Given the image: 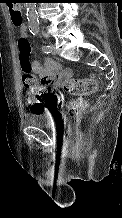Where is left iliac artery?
<instances>
[{
    "instance_id": "44dca946",
    "label": "left iliac artery",
    "mask_w": 122,
    "mask_h": 218,
    "mask_svg": "<svg viewBox=\"0 0 122 218\" xmlns=\"http://www.w3.org/2000/svg\"><path fill=\"white\" fill-rule=\"evenodd\" d=\"M37 33H38L37 31H36V32H32L33 35H36ZM42 51H43L44 53H46V54L51 53V51H50V46H48V45L42 46Z\"/></svg>"
}]
</instances>
